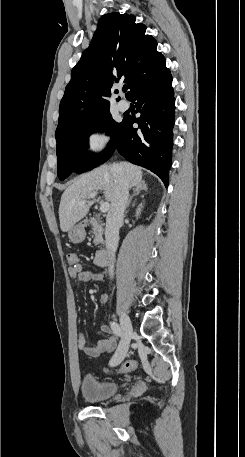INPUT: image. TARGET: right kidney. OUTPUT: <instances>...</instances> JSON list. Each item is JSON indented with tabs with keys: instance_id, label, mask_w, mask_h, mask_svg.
Returning <instances> with one entry per match:
<instances>
[{
	"instance_id": "ca27d5eb",
	"label": "right kidney",
	"mask_w": 245,
	"mask_h": 457,
	"mask_svg": "<svg viewBox=\"0 0 245 457\" xmlns=\"http://www.w3.org/2000/svg\"><path fill=\"white\" fill-rule=\"evenodd\" d=\"M141 208H142V202L141 204H139L137 210H136V216H139L140 212H141Z\"/></svg>"
}]
</instances>
